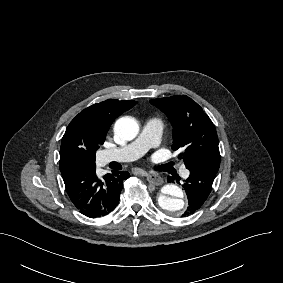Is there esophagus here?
Masks as SVG:
<instances>
[{
    "mask_svg": "<svg viewBox=\"0 0 283 283\" xmlns=\"http://www.w3.org/2000/svg\"><path fill=\"white\" fill-rule=\"evenodd\" d=\"M141 175L145 176L146 179L153 185L155 186H159L161 184H163V179L158 176L157 174H150L147 172H143Z\"/></svg>",
    "mask_w": 283,
    "mask_h": 283,
    "instance_id": "obj_1",
    "label": "esophagus"
}]
</instances>
